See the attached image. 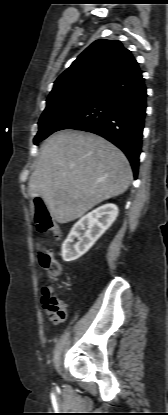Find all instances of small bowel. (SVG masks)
Segmentation results:
<instances>
[{"instance_id":"obj_1","label":"small bowel","mask_w":168,"mask_h":415,"mask_svg":"<svg viewBox=\"0 0 168 415\" xmlns=\"http://www.w3.org/2000/svg\"><path fill=\"white\" fill-rule=\"evenodd\" d=\"M42 307L46 314L54 323H61L65 320V306L61 299L53 295L52 288L45 286L42 288Z\"/></svg>"}]
</instances>
